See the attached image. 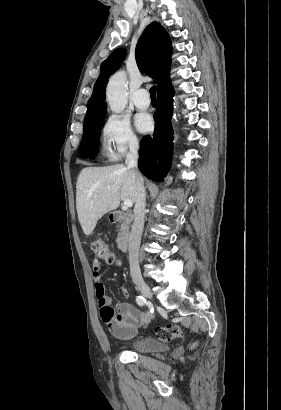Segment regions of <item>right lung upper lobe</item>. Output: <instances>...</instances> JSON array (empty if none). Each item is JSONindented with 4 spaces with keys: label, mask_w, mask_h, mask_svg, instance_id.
I'll return each mask as SVG.
<instances>
[{
    "label": "right lung upper lobe",
    "mask_w": 281,
    "mask_h": 410,
    "mask_svg": "<svg viewBox=\"0 0 281 410\" xmlns=\"http://www.w3.org/2000/svg\"><path fill=\"white\" fill-rule=\"evenodd\" d=\"M171 41L166 30L157 22H152L144 30L135 50L136 62L142 72L154 78L158 91L171 85L169 79ZM125 50H115L101 65L100 76L88 102L84 123L106 114L105 86L109 76L124 60Z\"/></svg>",
    "instance_id": "1"
}]
</instances>
